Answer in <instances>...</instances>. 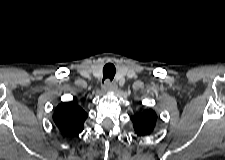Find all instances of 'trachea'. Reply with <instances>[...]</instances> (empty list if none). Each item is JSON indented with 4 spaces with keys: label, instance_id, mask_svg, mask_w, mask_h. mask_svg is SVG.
Instances as JSON below:
<instances>
[{
    "label": "trachea",
    "instance_id": "trachea-1",
    "mask_svg": "<svg viewBox=\"0 0 225 160\" xmlns=\"http://www.w3.org/2000/svg\"><path fill=\"white\" fill-rule=\"evenodd\" d=\"M115 73H116L115 66L112 63H107L103 67V81L105 79H109L110 81H112L115 76Z\"/></svg>",
    "mask_w": 225,
    "mask_h": 160
}]
</instances>
